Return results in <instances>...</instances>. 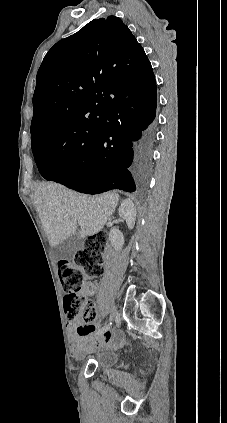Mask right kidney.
<instances>
[{"label":"right kidney","mask_w":227,"mask_h":423,"mask_svg":"<svg viewBox=\"0 0 227 423\" xmlns=\"http://www.w3.org/2000/svg\"><path fill=\"white\" fill-rule=\"evenodd\" d=\"M118 213L122 219H125L129 229H133L136 221L137 211L135 204H133L130 198H127V200L122 202ZM109 239L115 249H121L124 243V235L122 231L118 229V227H113V229H111L109 233Z\"/></svg>","instance_id":"obj_1"}]
</instances>
